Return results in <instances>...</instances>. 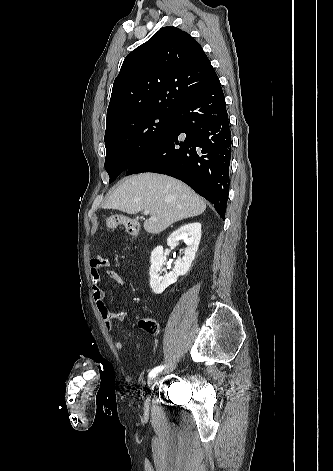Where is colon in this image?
Masks as SVG:
<instances>
[{
	"label": "colon",
	"instance_id": "1",
	"mask_svg": "<svg viewBox=\"0 0 333 471\" xmlns=\"http://www.w3.org/2000/svg\"><path fill=\"white\" fill-rule=\"evenodd\" d=\"M105 228L107 230L114 229L118 226H124L127 233L131 236H137L139 231L138 222L132 218H128L122 215H112L105 220ZM141 328L151 334H155L158 331V324L155 320L151 318L142 319L139 322ZM137 348H140L139 344H135Z\"/></svg>",
	"mask_w": 333,
	"mask_h": 471
}]
</instances>
